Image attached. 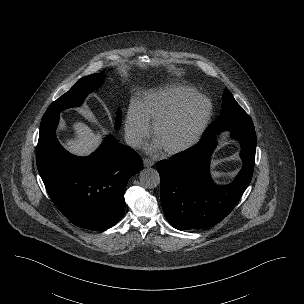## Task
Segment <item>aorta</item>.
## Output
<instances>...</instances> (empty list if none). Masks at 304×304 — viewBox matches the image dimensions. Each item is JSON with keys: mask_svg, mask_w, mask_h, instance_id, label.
<instances>
[{"mask_svg": "<svg viewBox=\"0 0 304 304\" xmlns=\"http://www.w3.org/2000/svg\"><path fill=\"white\" fill-rule=\"evenodd\" d=\"M139 180L144 188L152 189L160 184V176L157 170L146 168L140 172Z\"/></svg>", "mask_w": 304, "mask_h": 304, "instance_id": "762f6f07", "label": "aorta"}]
</instances>
